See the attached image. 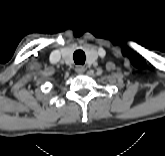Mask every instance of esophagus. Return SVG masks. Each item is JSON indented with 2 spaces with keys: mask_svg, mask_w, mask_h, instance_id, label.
<instances>
[{
  "mask_svg": "<svg viewBox=\"0 0 165 156\" xmlns=\"http://www.w3.org/2000/svg\"><path fill=\"white\" fill-rule=\"evenodd\" d=\"M85 70H86V68H85L84 66H82V65H77V66L75 67V71H76L78 74L84 73Z\"/></svg>",
  "mask_w": 165,
  "mask_h": 156,
  "instance_id": "1",
  "label": "esophagus"
}]
</instances>
